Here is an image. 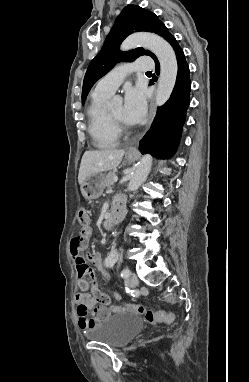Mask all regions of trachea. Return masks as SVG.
Wrapping results in <instances>:
<instances>
[{"instance_id":"trachea-1","label":"trachea","mask_w":249,"mask_h":382,"mask_svg":"<svg viewBox=\"0 0 249 382\" xmlns=\"http://www.w3.org/2000/svg\"><path fill=\"white\" fill-rule=\"evenodd\" d=\"M147 74H152V71H148V72H146Z\"/></svg>"}]
</instances>
